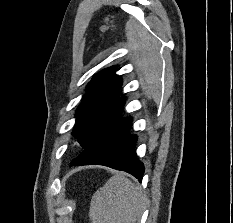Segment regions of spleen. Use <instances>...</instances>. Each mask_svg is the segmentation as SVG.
I'll return each instance as SVG.
<instances>
[{"instance_id":"3e777b00","label":"spleen","mask_w":233,"mask_h":223,"mask_svg":"<svg viewBox=\"0 0 233 223\" xmlns=\"http://www.w3.org/2000/svg\"><path fill=\"white\" fill-rule=\"evenodd\" d=\"M145 201L141 187L117 173L92 195L88 215L92 223H136Z\"/></svg>"}]
</instances>
